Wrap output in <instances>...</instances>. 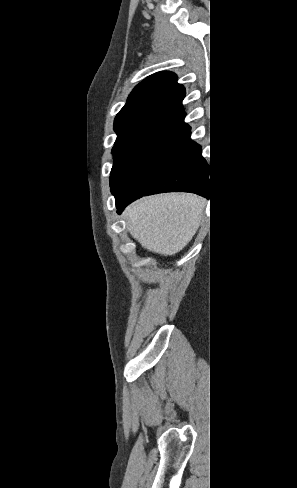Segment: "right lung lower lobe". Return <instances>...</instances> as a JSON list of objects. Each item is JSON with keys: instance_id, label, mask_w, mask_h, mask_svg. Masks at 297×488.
<instances>
[{"instance_id": "right-lung-lower-lobe-1", "label": "right lung lower lobe", "mask_w": 297, "mask_h": 488, "mask_svg": "<svg viewBox=\"0 0 297 488\" xmlns=\"http://www.w3.org/2000/svg\"><path fill=\"white\" fill-rule=\"evenodd\" d=\"M190 127L176 133L150 162L130 191L116 199L121 213L134 200L162 192H192L209 197L207 163L201 146L190 139Z\"/></svg>"}]
</instances>
